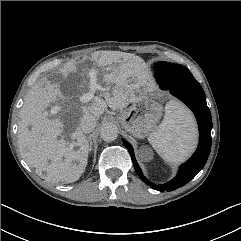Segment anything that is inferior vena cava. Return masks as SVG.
<instances>
[{
	"mask_svg": "<svg viewBox=\"0 0 241 241\" xmlns=\"http://www.w3.org/2000/svg\"><path fill=\"white\" fill-rule=\"evenodd\" d=\"M96 127V117L92 114H84L81 118L79 128L83 133H90Z\"/></svg>",
	"mask_w": 241,
	"mask_h": 241,
	"instance_id": "inferior-vena-cava-1",
	"label": "inferior vena cava"
}]
</instances>
